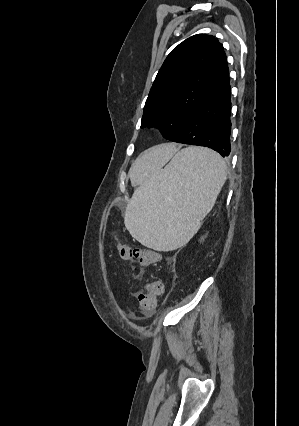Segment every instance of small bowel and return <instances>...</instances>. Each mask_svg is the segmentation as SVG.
<instances>
[{
  "mask_svg": "<svg viewBox=\"0 0 299 426\" xmlns=\"http://www.w3.org/2000/svg\"><path fill=\"white\" fill-rule=\"evenodd\" d=\"M141 274H142V272H141V271H139V272H138V276H140Z\"/></svg>",
  "mask_w": 299,
  "mask_h": 426,
  "instance_id": "1",
  "label": "small bowel"
}]
</instances>
